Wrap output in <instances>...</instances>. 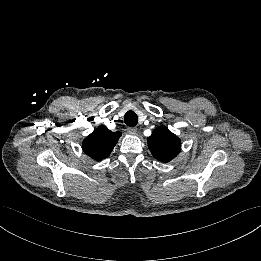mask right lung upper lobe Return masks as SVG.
<instances>
[{"label": "right lung upper lobe", "mask_w": 261, "mask_h": 261, "mask_svg": "<svg viewBox=\"0 0 261 261\" xmlns=\"http://www.w3.org/2000/svg\"><path fill=\"white\" fill-rule=\"evenodd\" d=\"M120 136L121 132H112L101 125L83 140V151L94 160L107 158Z\"/></svg>", "instance_id": "right-lung-upper-lobe-1"}]
</instances>
